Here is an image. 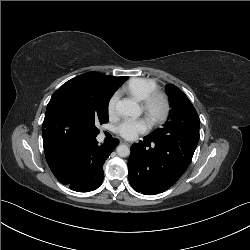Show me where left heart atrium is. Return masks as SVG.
Wrapping results in <instances>:
<instances>
[{
	"label": "left heart atrium",
	"instance_id": "39dd6f15",
	"mask_svg": "<svg viewBox=\"0 0 250 250\" xmlns=\"http://www.w3.org/2000/svg\"><path fill=\"white\" fill-rule=\"evenodd\" d=\"M149 122L144 118H126L117 126L119 135L126 139H135L149 129Z\"/></svg>",
	"mask_w": 250,
	"mask_h": 250
}]
</instances>
